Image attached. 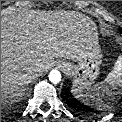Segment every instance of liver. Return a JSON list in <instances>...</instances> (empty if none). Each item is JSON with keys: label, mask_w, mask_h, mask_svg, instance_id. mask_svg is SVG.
I'll list each match as a JSON object with an SVG mask.
<instances>
[{"label": "liver", "mask_w": 122, "mask_h": 122, "mask_svg": "<svg viewBox=\"0 0 122 122\" xmlns=\"http://www.w3.org/2000/svg\"><path fill=\"white\" fill-rule=\"evenodd\" d=\"M99 48L95 23L75 11L21 10L1 17V103L19 98L55 58Z\"/></svg>", "instance_id": "obj_1"}]
</instances>
